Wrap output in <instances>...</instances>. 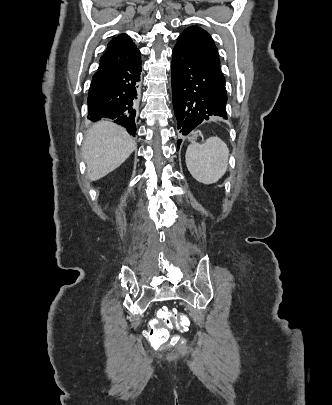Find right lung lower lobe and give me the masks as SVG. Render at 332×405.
Instances as JSON below:
<instances>
[{
	"mask_svg": "<svg viewBox=\"0 0 332 405\" xmlns=\"http://www.w3.org/2000/svg\"><path fill=\"white\" fill-rule=\"evenodd\" d=\"M141 59L117 68L100 69L93 78L88 93V119H116L129 134L135 135V115L140 90Z\"/></svg>",
	"mask_w": 332,
	"mask_h": 405,
	"instance_id": "right-lung-lower-lobe-1",
	"label": "right lung lower lobe"
}]
</instances>
